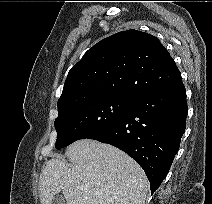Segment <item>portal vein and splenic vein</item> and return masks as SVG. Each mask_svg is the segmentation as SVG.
<instances>
[{"label": "portal vein and splenic vein", "instance_id": "obj_1", "mask_svg": "<svg viewBox=\"0 0 212 204\" xmlns=\"http://www.w3.org/2000/svg\"><path fill=\"white\" fill-rule=\"evenodd\" d=\"M85 188H86V187L82 186L80 189H81V190H84Z\"/></svg>", "mask_w": 212, "mask_h": 204}]
</instances>
